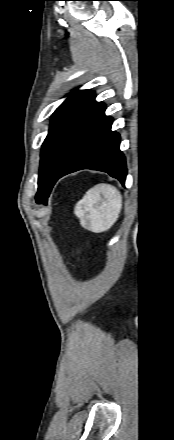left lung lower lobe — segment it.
Returning <instances> with one entry per match:
<instances>
[{"mask_svg":"<svg viewBox=\"0 0 174 440\" xmlns=\"http://www.w3.org/2000/svg\"><path fill=\"white\" fill-rule=\"evenodd\" d=\"M105 110L102 103L87 121L55 182L69 173L92 169L107 172L124 185L127 169L120 135L111 131L112 117Z\"/></svg>","mask_w":174,"mask_h":440,"instance_id":"0a47b994","label":"left lung lower lobe"}]
</instances>
